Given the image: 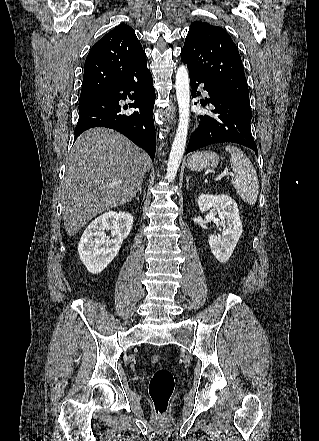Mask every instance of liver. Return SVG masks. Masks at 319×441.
<instances>
[{"instance_id":"liver-1","label":"liver","mask_w":319,"mask_h":441,"mask_svg":"<svg viewBox=\"0 0 319 441\" xmlns=\"http://www.w3.org/2000/svg\"><path fill=\"white\" fill-rule=\"evenodd\" d=\"M150 166L148 154L114 130L96 127L82 133L68 155L61 183L67 235L132 200Z\"/></svg>"}]
</instances>
